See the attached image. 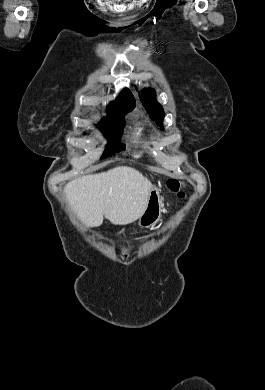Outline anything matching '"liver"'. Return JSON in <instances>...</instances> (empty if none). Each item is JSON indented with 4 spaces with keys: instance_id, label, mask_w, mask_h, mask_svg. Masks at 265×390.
<instances>
[{
    "instance_id": "liver-1",
    "label": "liver",
    "mask_w": 265,
    "mask_h": 390,
    "mask_svg": "<svg viewBox=\"0 0 265 390\" xmlns=\"http://www.w3.org/2000/svg\"><path fill=\"white\" fill-rule=\"evenodd\" d=\"M152 187L138 170L118 166L70 181L64 194L69 206L89 227L100 226L103 216L114 225H126L143 214Z\"/></svg>"
}]
</instances>
